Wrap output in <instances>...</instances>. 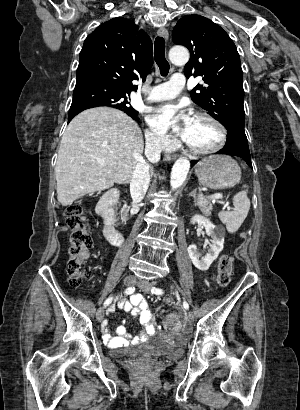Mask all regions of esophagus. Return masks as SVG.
I'll list each match as a JSON object with an SVG mask.
<instances>
[{"label":"esophagus","instance_id":"obj_1","mask_svg":"<svg viewBox=\"0 0 300 410\" xmlns=\"http://www.w3.org/2000/svg\"><path fill=\"white\" fill-rule=\"evenodd\" d=\"M157 34H158V36L163 37L166 40H168V38H169V33H168L167 29L164 28V27L159 28L158 31H157ZM175 158H176V156H174V155H167L165 157V160L170 161V160H174Z\"/></svg>","mask_w":300,"mask_h":410}]
</instances>
